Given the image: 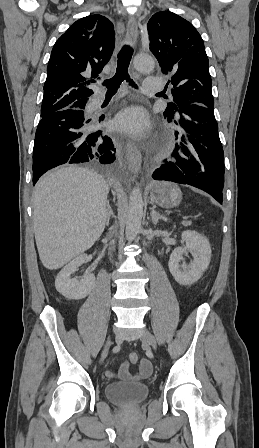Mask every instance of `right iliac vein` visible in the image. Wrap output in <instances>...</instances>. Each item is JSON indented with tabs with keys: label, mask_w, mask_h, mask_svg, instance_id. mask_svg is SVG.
<instances>
[{
	"label": "right iliac vein",
	"mask_w": 259,
	"mask_h": 448,
	"mask_svg": "<svg viewBox=\"0 0 259 448\" xmlns=\"http://www.w3.org/2000/svg\"><path fill=\"white\" fill-rule=\"evenodd\" d=\"M110 346H111V339L108 338V340H107V342H106V345H105V348H104V350H103V352H102V355H101V360H100L101 363H102V362L104 361V359L107 357Z\"/></svg>",
	"instance_id": "63e3f726"
}]
</instances>
